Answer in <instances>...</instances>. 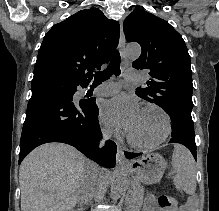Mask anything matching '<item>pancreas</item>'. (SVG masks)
Returning a JSON list of instances; mask_svg holds the SVG:
<instances>
[{"label":"pancreas","mask_w":219,"mask_h":211,"mask_svg":"<svg viewBox=\"0 0 219 211\" xmlns=\"http://www.w3.org/2000/svg\"><path fill=\"white\" fill-rule=\"evenodd\" d=\"M133 192H129L128 195V205L129 211H140L143 203V188L141 186H130Z\"/></svg>","instance_id":"obj_1"}]
</instances>
